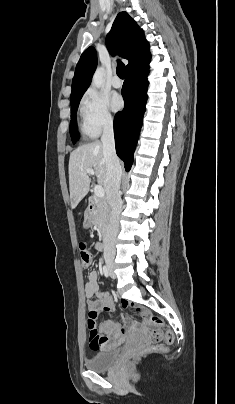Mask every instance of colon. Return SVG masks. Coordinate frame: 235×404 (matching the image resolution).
Listing matches in <instances>:
<instances>
[{
  "mask_svg": "<svg viewBox=\"0 0 235 404\" xmlns=\"http://www.w3.org/2000/svg\"><path fill=\"white\" fill-rule=\"evenodd\" d=\"M79 255H80V264L82 269H87L92 261L91 252L88 247L81 243L79 245ZM136 312L141 316L146 318V325L151 328L149 332V337L152 342L156 343L154 346V350H164V345L159 344L161 341H164L166 344H171L173 341V334L170 331H162L160 327L163 326V321L156 315L149 314L143 308H136ZM87 326L89 329V337L93 339L94 344H101L104 342L103 338H99L96 331V322L94 315H89Z\"/></svg>",
  "mask_w": 235,
  "mask_h": 404,
  "instance_id": "obj_1",
  "label": "colon"
}]
</instances>
